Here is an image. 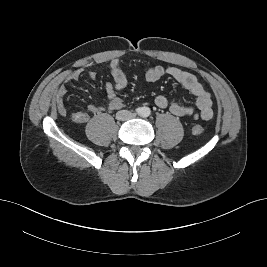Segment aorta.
<instances>
[{
	"instance_id": "762f6f07",
	"label": "aorta",
	"mask_w": 267,
	"mask_h": 267,
	"mask_svg": "<svg viewBox=\"0 0 267 267\" xmlns=\"http://www.w3.org/2000/svg\"><path fill=\"white\" fill-rule=\"evenodd\" d=\"M150 108H148V107H144V108H142V114L144 115V116H149L150 115Z\"/></svg>"
}]
</instances>
